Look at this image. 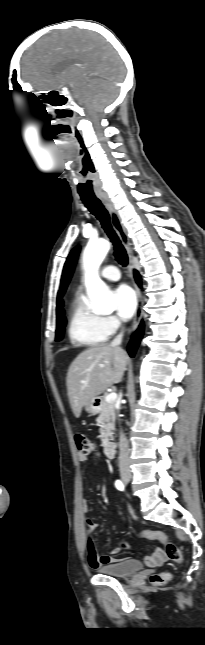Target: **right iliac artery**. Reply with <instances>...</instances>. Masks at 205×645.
<instances>
[{
	"instance_id": "82829eb1",
	"label": "right iliac artery",
	"mask_w": 205,
	"mask_h": 645,
	"mask_svg": "<svg viewBox=\"0 0 205 645\" xmlns=\"http://www.w3.org/2000/svg\"><path fill=\"white\" fill-rule=\"evenodd\" d=\"M115 486H116V488H117L118 490H120V491H123V490H124V484H123V483H122V481H120V480H117V481L115 482Z\"/></svg>"
}]
</instances>
